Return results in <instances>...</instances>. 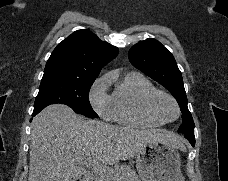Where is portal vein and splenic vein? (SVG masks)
Returning <instances> with one entry per match:
<instances>
[{"mask_svg": "<svg viewBox=\"0 0 228 181\" xmlns=\"http://www.w3.org/2000/svg\"><path fill=\"white\" fill-rule=\"evenodd\" d=\"M85 167H91L94 173H97V175H100V177H104V175H112L113 173V169H110V167H107V165H99L97 161H92V159L86 161ZM115 177H117V175H112V177H104V179H115Z\"/></svg>", "mask_w": 228, "mask_h": 181, "instance_id": "portal-vein-and-splenic-vein-1", "label": "portal vein and splenic vein"}]
</instances>
